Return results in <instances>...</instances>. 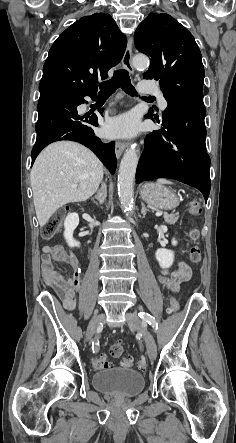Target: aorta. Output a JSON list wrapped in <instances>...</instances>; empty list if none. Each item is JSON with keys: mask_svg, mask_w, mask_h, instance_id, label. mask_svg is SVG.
Masks as SVG:
<instances>
[{"mask_svg": "<svg viewBox=\"0 0 236 443\" xmlns=\"http://www.w3.org/2000/svg\"><path fill=\"white\" fill-rule=\"evenodd\" d=\"M135 68H146L149 59L145 55H136L133 58ZM139 156L135 146L126 150L120 163L118 173V194L124 212L129 213L133 207L134 180Z\"/></svg>", "mask_w": 236, "mask_h": 443, "instance_id": "obj_1", "label": "aorta"}]
</instances>
